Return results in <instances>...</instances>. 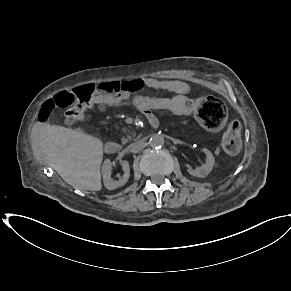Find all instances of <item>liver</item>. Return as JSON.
I'll return each instance as SVG.
<instances>
[{"label": "liver", "instance_id": "1", "mask_svg": "<svg viewBox=\"0 0 291 291\" xmlns=\"http://www.w3.org/2000/svg\"><path fill=\"white\" fill-rule=\"evenodd\" d=\"M31 146L37 160L53 165L62 179L80 190L100 191L103 142L92 135L36 122Z\"/></svg>", "mask_w": 291, "mask_h": 291}]
</instances>
